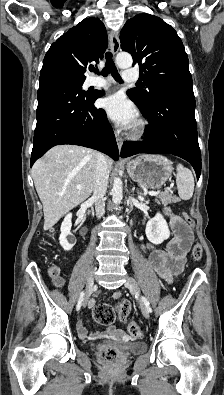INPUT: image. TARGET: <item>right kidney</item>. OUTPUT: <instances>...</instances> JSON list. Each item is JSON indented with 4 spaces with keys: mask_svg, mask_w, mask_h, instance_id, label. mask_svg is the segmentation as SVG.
I'll return each instance as SVG.
<instances>
[{
    "mask_svg": "<svg viewBox=\"0 0 224 395\" xmlns=\"http://www.w3.org/2000/svg\"><path fill=\"white\" fill-rule=\"evenodd\" d=\"M72 214L69 213L65 216L64 221L61 224V234L59 237L60 245L63 247L65 251H69L73 248L76 244V238L71 233V226H72Z\"/></svg>",
    "mask_w": 224,
    "mask_h": 395,
    "instance_id": "ca27d5eb",
    "label": "right kidney"
}]
</instances>
